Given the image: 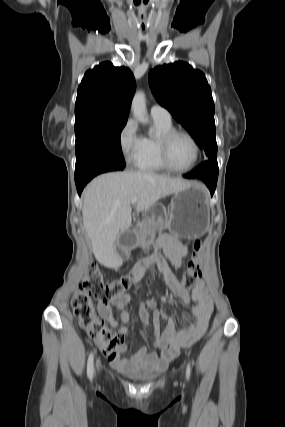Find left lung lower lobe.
Returning <instances> with one entry per match:
<instances>
[{"mask_svg": "<svg viewBox=\"0 0 285 427\" xmlns=\"http://www.w3.org/2000/svg\"><path fill=\"white\" fill-rule=\"evenodd\" d=\"M188 179H202L213 195L218 178V163L217 158H210L200 164L194 171L185 174Z\"/></svg>", "mask_w": 285, "mask_h": 427, "instance_id": "left-lung-lower-lobe-1", "label": "left lung lower lobe"}]
</instances>
